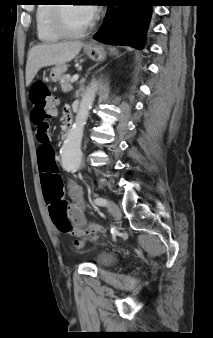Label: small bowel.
Listing matches in <instances>:
<instances>
[{
  "instance_id": "1",
  "label": "small bowel",
  "mask_w": 213,
  "mask_h": 338,
  "mask_svg": "<svg viewBox=\"0 0 213 338\" xmlns=\"http://www.w3.org/2000/svg\"><path fill=\"white\" fill-rule=\"evenodd\" d=\"M63 111L65 117L67 118L68 114L70 113V108L64 107ZM42 146L50 148L49 145ZM38 162L44 200L51 216V207L57 202H64L62 198L63 182L61 179L59 167L53 156L46 158L40 152L38 156ZM68 192L73 199V203L66 204L67 213L73 219V227L67 220L62 226H58L55 222L54 223L56 224L57 228L63 233H81L86 225V219L82 212V190L75 182H70L68 184ZM93 230L96 231V227H93ZM92 238H94V236Z\"/></svg>"
}]
</instances>
